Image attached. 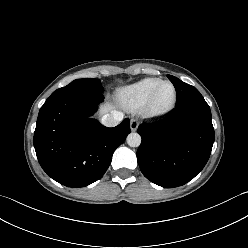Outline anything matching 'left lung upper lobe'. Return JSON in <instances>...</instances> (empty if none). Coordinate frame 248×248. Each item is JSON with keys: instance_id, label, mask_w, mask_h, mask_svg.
<instances>
[{"instance_id": "obj_1", "label": "left lung upper lobe", "mask_w": 248, "mask_h": 248, "mask_svg": "<svg viewBox=\"0 0 248 248\" xmlns=\"http://www.w3.org/2000/svg\"><path fill=\"white\" fill-rule=\"evenodd\" d=\"M167 77L173 83L177 92L176 106H180L185 103L203 98L200 92L195 87L182 82L180 79L172 75H167Z\"/></svg>"}]
</instances>
